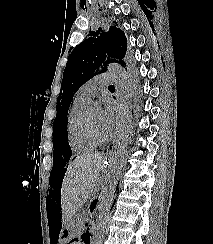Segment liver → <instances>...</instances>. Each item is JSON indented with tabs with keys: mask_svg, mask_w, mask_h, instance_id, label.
<instances>
[{
	"mask_svg": "<svg viewBox=\"0 0 213 244\" xmlns=\"http://www.w3.org/2000/svg\"><path fill=\"white\" fill-rule=\"evenodd\" d=\"M103 159V153H88L77 156L69 164L61 186L63 223L71 219L93 192Z\"/></svg>",
	"mask_w": 213,
	"mask_h": 244,
	"instance_id": "1",
	"label": "liver"
}]
</instances>
